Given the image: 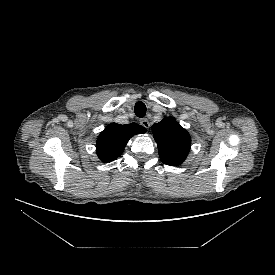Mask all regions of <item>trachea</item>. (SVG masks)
Instances as JSON below:
<instances>
[{"label": "trachea", "mask_w": 275, "mask_h": 275, "mask_svg": "<svg viewBox=\"0 0 275 275\" xmlns=\"http://www.w3.org/2000/svg\"><path fill=\"white\" fill-rule=\"evenodd\" d=\"M134 112L137 117L143 118L146 114V105L143 102H137L134 107Z\"/></svg>", "instance_id": "trachea-1"}]
</instances>
